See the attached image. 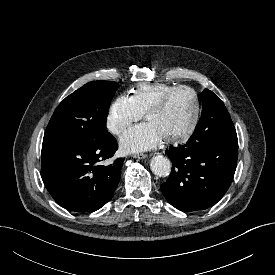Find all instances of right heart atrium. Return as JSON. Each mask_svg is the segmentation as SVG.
Returning a JSON list of instances; mask_svg holds the SVG:
<instances>
[{"mask_svg": "<svg viewBox=\"0 0 275 275\" xmlns=\"http://www.w3.org/2000/svg\"><path fill=\"white\" fill-rule=\"evenodd\" d=\"M142 115L132 98L127 94H122L111 103L106 125L112 134L119 136L134 122L140 120Z\"/></svg>", "mask_w": 275, "mask_h": 275, "instance_id": "1", "label": "right heart atrium"}]
</instances>
